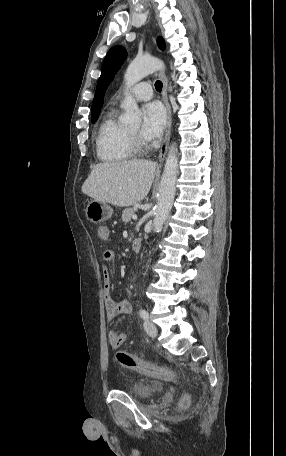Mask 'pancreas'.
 Wrapping results in <instances>:
<instances>
[{
	"instance_id": "1",
	"label": "pancreas",
	"mask_w": 286,
	"mask_h": 456,
	"mask_svg": "<svg viewBox=\"0 0 286 456\" xmlns=\"http://www.w3.org/2000/svg\"><path fill=\"white\" fill-rule=\"evenodd\" d=\"M135 215V208H127L122 212V221L128 223L132 216Z\"/></svg>"
}]
</instances>
